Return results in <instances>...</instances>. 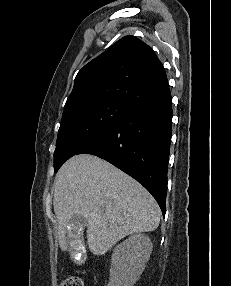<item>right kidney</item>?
I'll use <instances>...</instances> for the list:
<instances>
[{"instance_id": "right-kidney-1", "label": "right kidney", "mask_w": 231, "mask_h": 286, "mask_svg": "<svg viewBox=\"0 0 231 286\" xmlns=\"http://www.w3.org/2000/svg\"><path fill=\"white\" fill-rule=\"evenodd\" d=\"M153 245L144 234L130 236L113 251L107 286H133L149 260Z\"/></svg>"}]
</instances>
